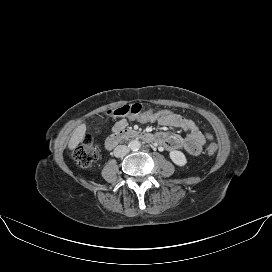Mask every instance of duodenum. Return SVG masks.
Instances as JSON below:
<instances>
[{"instance_id": "1", "label": "duodenum", "mask_w": 272, "mask_h": 272, "mask_svg": "<svg viewBox=\"0 0 272 272\" xmlns=\"http://www.w3.org/2000/svg\"><path fill=\"white\" fill-rule=\"evenodd\" d=\"M127 139H140L146 142H154L155 136L148 132L133 130V129H118L109 136L105 142V147L107 150L114 149L121 141Z\"/></svg>"}]
</instances>
